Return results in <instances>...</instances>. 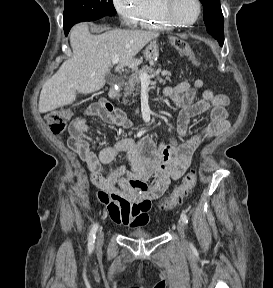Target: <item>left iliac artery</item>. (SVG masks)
Masks as SVG:
<instances>
[{
  "instance_id": "44dca946",
  "label": "left iliac artery",
  "mask_w": 273,
  "mask_h": 288,
  "mask_svg": "<svg viewBox=\"0 0 273 288\" xmlns=\"http://www.w3.org/2000/svg\"><path fill=\"white\" fill-rule=\"evenodd\" d=\"M181 220L184 222V224L188 223V217L185 213L181 214ZM192 246V244H190Z\"/></svg>"
}]
</instances>
